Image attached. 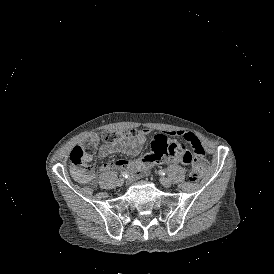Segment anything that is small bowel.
<instances>
[{
    "label": "small bowel",
    "mask_w": 274,
    "mask_h": 274,
    "mask_svg": "<svg viewBox=\"0 0 274 274\" xmlns=\"http://www.w3.org/2000/svg\"><path fill=\"white\" fill-rule=\"evenodd\" d=\"M150 130L147 128L140 129L136 135L130 139H122L114 143L102 144L98 151L97 157L104 158L114 153H127L129 155H137L142 147L147 142ZM170 135L183 138L192 148H188L186 145L180 142H171L167 135H160L151 147V153H148L145 157H139L136 162L129 161L128 159H117L112 163L104 164L101 167L102 171L111 169H131L136 167L139 170H146L149 166H155L162 161L171 164H181L184 166L190 165L193 162L195 155L202 153L205 155V148L200 139L192 132L189 131H174ZM169 147V149H168ZM93 159V154L85 153L82 157L80 166H74L71 174L73 178L81 183L87 184L92 182L95 178V173L92 169H88L83 165L89 163Z\"/></svg>",
    "instance_id": "small-bowel-1"
}]
</instances>
